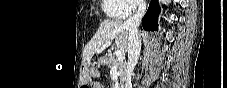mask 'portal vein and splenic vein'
Here are the masks:
<instances>
[{"label":"portal vein and splenic vein","instance_id":"18ae733b","mask_svg":"<svg viewBox=\"0 0 227 88\" xmlns=\"http://www.w3.org/2000/svg\"><path fill=\"white\" fill-rule=\"evenodd\" d=\"M110 45H111V42H107V43H105V44L103 45V48H106V47H108V46H110ZM114 55L116 56L117 61H123L124 58H125L124 52L121 51V50H116V51L114 52Z\"/></svg>","mask_w":227,"mask_h":88}]
</instances>
